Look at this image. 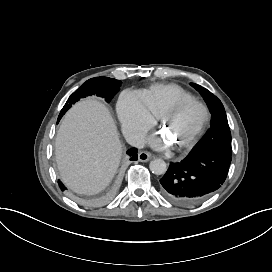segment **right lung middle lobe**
Here are the masks:
<instances>
[{"instance_id":"dd1d6c3e","label":"right lung middle lobe","mask_w":272,"mask_h":272,"mask_svg":"<svg viewBox=\"0 0 272 272\" xmlns=\"http://www.w3.org/2000/svg\"><path fill=\"white\" fill-rule=\"evenodd\" d=\"M121 83L122 82L120 80L108 77H95L87 80L69 97L62 108L58 119L65 114L72 104L85 96L97 95L105 98L107 102H110L114 95L119 91Z\"/></svg>"}]
</instances>
